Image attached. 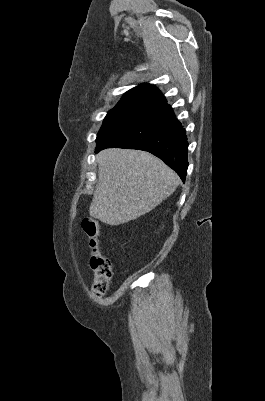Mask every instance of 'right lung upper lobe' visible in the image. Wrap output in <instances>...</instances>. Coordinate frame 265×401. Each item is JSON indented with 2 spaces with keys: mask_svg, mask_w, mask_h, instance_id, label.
<instances>
[{
  "mask_svg": "<svg viewBox=\"0 0 265 401\" xmlns=\"http://www.w3.org/2000/svg\"><path fill=\"white\" fill-rule=\"evenodd\" d=\"M136 103L158 105L162 108L169 106L166 98L160 90L157 87L146 83L134 87L126 92L117 105Z\"/></svg>",
  "mask_w": 265,
  "mask_h": 401,
  "instance_id": "1",
  "label": "right lung upper lobe"
}]
</instances>
